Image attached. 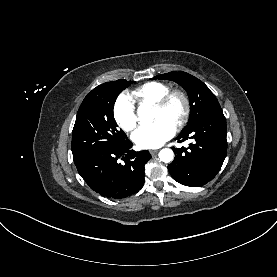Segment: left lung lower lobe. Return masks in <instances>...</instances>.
Wrapping results in <instances>:
<instances>
[{
    "label": "left lung lower lobe",
    "mask_w": 277,
    "mask_h": 277,
    "mask_svg": "<svg viewBox=\"0 0 277 277\" xmlns=\"http://www.w3.org/2000/svg\"><path fill=\"white\" fill-rule=\"evenodd\" d=\"M227 127L222 110L214 111L189 130L181 132L178 142L194 139L188 148H175L174 161L168 166L172 178L180 184L200 187L219 172L227 152Z\"/></svg>",
    "instance_id": "obj_1"
}]
</instances>
